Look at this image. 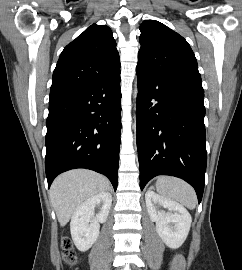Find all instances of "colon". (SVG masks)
<instances>
[{
	"instance_id": "colon-1",
	"label": "colon",
	"mask_w": 242,
	"mask_h": 270,
	"mask_svg": "<svg viewBox=\"0 0 242 270\" xmlns=\"http://www.w3.org/2000/svg\"><path fill=\"white\" fill-rule=\"evenodd\" d=\"M64 261L68 265H73L77 262V255L73 249V245L68 238H63L61 241Z\"/></svg>"
}]
</instances>
